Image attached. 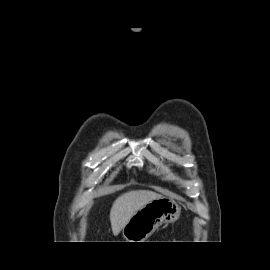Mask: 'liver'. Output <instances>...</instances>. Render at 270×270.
I'll list each match as a JSON object with an SVG mask.
<instances>
[{
	"instance_id": "liver-1",
	"label": "liver",
	"mask_w": 270,
	"mask_h": 270,
	"mask_svg": "<svg viewBox=\"0 0 270 270\" xmlns=\"http://www.w3.org/2000/svg\"><path fill=\"white\" fill-rule=\"evenodd\" d=\"M160 197H162L160 194L148 190H132L121 194L110 210L113 234L117 236L139 209Z\"/></svg>"
}]
</instances>
